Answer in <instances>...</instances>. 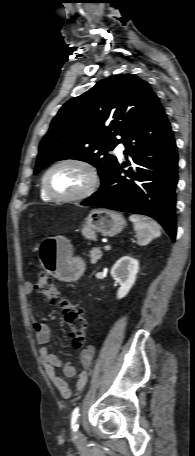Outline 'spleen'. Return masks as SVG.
I'll use <instances>...</instances> for the list:
<instances>
[{
	"label": "spleen",
	"mask_w": 195,
	"mask_h": 456,
	"mask_svg": "<svg viewBox=\"0 0 195 456\" xmlns=\"http://www.w3.org/2000/svg\"><path fill=\"white\" fill-rule=\"evenodd\" d=\"M129 220L134 225L138 244L141 246L161 235L159 224L149 217L133 214L129 216Z\"/></svg>",
	"instance_id": "3e777b00"
}]
</instances>
